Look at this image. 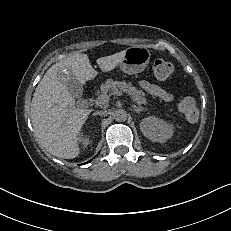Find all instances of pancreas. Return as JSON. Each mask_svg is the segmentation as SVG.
<instances>
[{
  "label": "pancreas",
  "instance_id": "obj_1",
  "mask_svg": "<svg viewBox=\"0 0 231 231\" xmlns=\"http://www.w3.org/2000/svg\"><path fill=\"white\" fill-rule=\"evenodd\" d=\"M115 90L126 92L131 96L132 100L139 105L147 104L146 99L143 97L144 93L134 87L131 83L108 79L103 85H101L102 95H107L109 92L112 94Z\"/></svg>",
  "mask_w": 231,
  "mask_h": 231
}]
</instances>
